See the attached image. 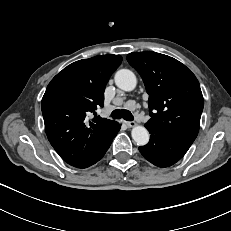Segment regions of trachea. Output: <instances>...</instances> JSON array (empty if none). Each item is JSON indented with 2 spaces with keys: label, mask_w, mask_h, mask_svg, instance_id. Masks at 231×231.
<instances>
[{
  "label": "trachea",
  "mask_w": 231,
  "mask_h": 231,
  "mask_svg": "<svg viewBox=\"0 0 231 231\" xmlns=\"http://www.w3.org/2000/svg\"><path fill=\"white\" fill-rule=\"evenodd\" d=\"M111 117L113 119H121L123 118L126 121H133L134 117L132 115V113L128 110H124V109H116L111 113Z\"/></svg>",
  "instance_id": "1"
}]
</instances>
